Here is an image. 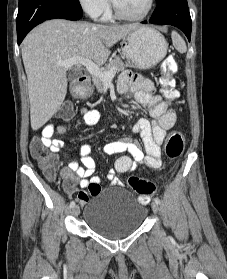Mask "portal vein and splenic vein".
I'll return each instance as SVG.
<instances>
[{
  "instance_id": "portal-vein-and-splenic-vein-1",
  "label": "portal vein and splenic vein",
  "mask_w": 227,
  "mask_h": 279,
  "mask_svg": "<svg viewBox=\"0 0 227 279\" xmlns=\"http://www.w3.org/2000/svg\"><path fill=\"white\" fill-rule=\"evenodd\" d=\"M57 64L66 69H69L70 67L78 64L84 65L92 76L99 77L104 82H111L116 74L115 68H112L109 71H103L97 64L82 57H72L65 61H59Z\"/></svg>"
}]
</instances>
